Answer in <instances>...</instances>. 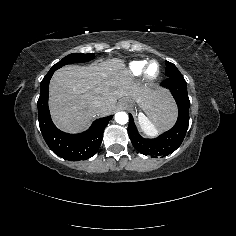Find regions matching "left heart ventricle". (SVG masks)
<instances>
[{"instance_id":"b2bd125f","label":"left heart ventricle","mask_w":236,"mask_h":236,"mask_svg":"<svg viewBox=\"0 0 236 236\" xmlns=\"http://www.w3.org/2000/svg\"><path fill=\"white\" fill-rule=\"evenodd\" d=\"M159 72V65L157 63H152L149 66V74L156 75Z\"/></svg>"}]
</instances>
